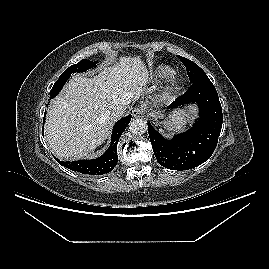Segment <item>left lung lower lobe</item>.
<instances>
[{"mask_svg": "<svg viewBox=\"0 0 269 269\" xmlns=\"http://www.w3.org/2000/svg\"><path fill=\"white\" fill-rule=\"evenodd\" d=\"M189 102L199 105L200 118L190 130L173 139H165L148 123L155 157L160 165L171 170H188L208 160L216 148L221 132L222 108L217 91L209 78L192 83L170 107L177 108Z\"/></svg>", "mask_w": 269, "mask_h": 269, "instance_id": "1", "label": "left lung lower lobe"}]
</instances>
